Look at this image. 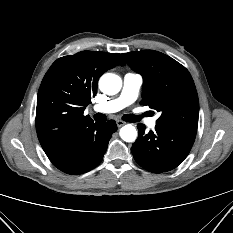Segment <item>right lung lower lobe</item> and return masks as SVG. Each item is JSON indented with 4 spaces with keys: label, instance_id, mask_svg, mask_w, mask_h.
<instances>
[{
    "label": "right lung lower lobe",
    "instance_id": "obj_1",
    "mask_svg": "<svg viewBox=\"0 0 233 233\" xmlns=\"http://www.w3.org/2000/svg\"><path fill=\"white\" fill-rule=\"evenodd\" d=\"M117 130L115 121L96 123L84 141L83 148L66 155L48 156L50 161L59 170L77 175L95 168L103 159L111 135Z\"/></svg>",
    "mask_w": 233,
    "mask_h": 233
}]
</instances>
